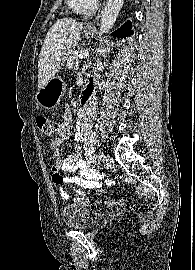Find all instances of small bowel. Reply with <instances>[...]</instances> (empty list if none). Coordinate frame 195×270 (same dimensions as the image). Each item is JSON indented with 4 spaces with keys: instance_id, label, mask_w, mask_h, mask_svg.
<instances>
[{
    "instance_id": "small-bowel-1",
    "label": "small bowel",
    "mask_w": 195,
    "mask_h": 270,
    "mask_svg": "<svg viewBox=\"0 0 195 270\" xmlns=\"http://www.w3.org/2000/svg\"><path fill=\"white\" fill-rule=\"evenodd\" d=\"M93 79L92 76L88 77ZM95 113L94 103L89 107L79 109L76 118V131L74 141L75 153L62 159L59 154V146L71 135L73 115L70 109H66L62 122L56 126L53 138L49 143L53 165L50 171L52 181L58 186V192L62 199L69 200L70 196L64 185H73L76 193L75 201L84 202L86 193L78 189H100L103 186L105 174L96 168L94 143L95 135L92 130V121ZM62 172H77V175L63 176ZM114 181L107 179L106 184L112 185Z\"/></svg>"
}]
</instances>
